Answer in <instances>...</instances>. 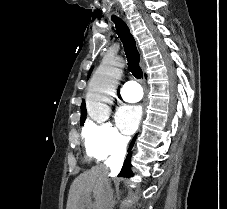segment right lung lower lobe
Listing matches in <instances>:
<instances>
[{"label":"right lung lower lobe","instance_id":"right-lung-lower-lobe-1","mask_svg":"<svg viewBox=\"0 0 227 209\" xmlns=\"http://www.w3.org/2000/svg\"><path fill=\"white\" fill-rule=\"evenodd\" d=\"M135 140H136V136L133 138V140L131 141L130 143V146H129V149H128V155H127V158L124 162V165L121 169V172H120V176H132V171L130 170V167H131V163H130V159H131V149L135 143Z\"/></svg>","mask_w":227,"mask_h":209}]
</instances>
